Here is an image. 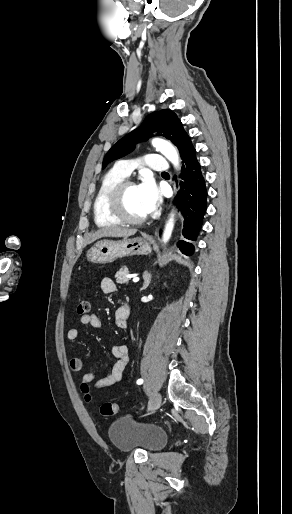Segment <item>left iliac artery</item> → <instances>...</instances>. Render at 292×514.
<instances>
[{
	"label": "left iliac artery",
	"mask_w": 292,
	"mask_h": 514,
	"mask_svg": "<svg viewBox=\"0 0 292 514\" xmlns=\"http://www.w3.org/2000/svg\"><path fill=\"white\" fill-rule=\"evenodd\" d=\"M138 385L143 383V379H138L136 382Z\"/></svg>",
	"instance_id": "left-iliac-artery-1"
}]
</instances>
